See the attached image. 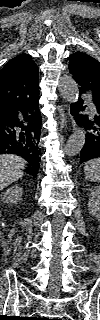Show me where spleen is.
<instances>
[{"instance_id": "3e777b00", "label": "spleen", "mask_w": 100, "mask_h": 320, "mask_svg": "<svg viewBox=\"0 0 100 320\" xmlns=\"http://www.w3.org/2000/svg\"><path fill=\"white\" fill-rule=\"evenodd\" d=\"M85 179L91 182L100 181V159L87 161L84 166Z\"/></svg>"}]
</instances>
